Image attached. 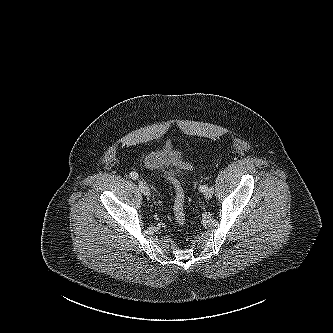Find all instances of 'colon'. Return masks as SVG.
<instances>
[{
    "instance_id": "obj_1",
    "label": "colon",
    "mask_w": 333,
    "mask_h": 333,
    "mask_svg": "<svg viewBox=\"0 0 333 333\" xmlns=\"http://www.w3.org/2000/svg\"><path fill=\"white\" fill-rule=\"evenodd\" d=\"M165 178L174 186L175 201H174V217L178 225L182 226L186 222L185 212V194L182 186L175 178L165 175Z\"/></svg>"
}]
</instances>
